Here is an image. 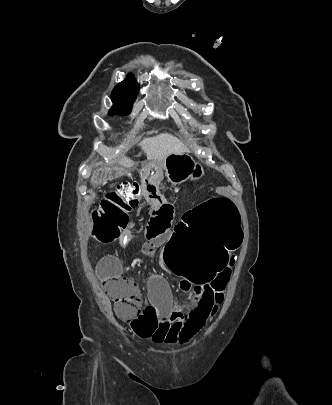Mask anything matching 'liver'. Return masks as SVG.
<instances>
[{"label":"liver","mask_w":332,"mask_h":405,"mask_svg":"<svg viewBox=\"0 0 332 405\" xmlns=\"http://www.w3.org/2000/svg\"><path fill=\"white\" fill-rule=\"evenodd\" d=\"M139 145L147 159L153 162L162 161L170 154H182L188 150L181 140L167 133L145 138Z\"/></svg>","instance_id":"6515ba94"}]
</instances>
